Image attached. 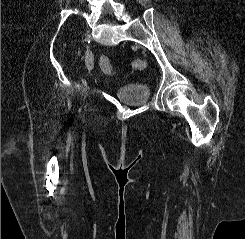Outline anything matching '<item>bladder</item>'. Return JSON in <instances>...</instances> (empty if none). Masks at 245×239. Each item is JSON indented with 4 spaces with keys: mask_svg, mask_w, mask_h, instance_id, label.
<instances>
[{
    "mask_svg": "<svg viewBox=\"0 0 245 239\" xmlns=\"http://www.w3.org/2000/svg\"><path fill=\"white\" fill-rule=\"evenodd\" d=\"M114 95L125 104L141 105L148 103L150 87L141 82L127 83L117 86Z\"/></svg>",
    "mask_w": 245,
    "mask_h": 239,
    "instance_id": "31cf9c89",
    "label": "bladder"
}]
</instances>
